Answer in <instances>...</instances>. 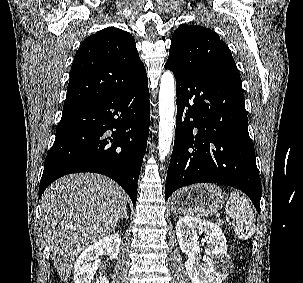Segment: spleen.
Here are the masks:
<instances>
[{"instance_id":"3e777b00","label":"spleen","mask_w":303,"mask_h":283,"mask_svg":"<svg viewBox=\"0 0 303 283\" xmlns=\"http://www.w3.org/2000/svg\"><path fill=\"white\" fill-rule=\"evenodd\" d=\"M226 213L233 220L235 234L238 238L247 240L251 238L255 230V217L245 196L232 191L225 207Z\"/></svg>"}]
</instances>
